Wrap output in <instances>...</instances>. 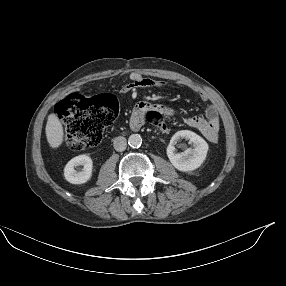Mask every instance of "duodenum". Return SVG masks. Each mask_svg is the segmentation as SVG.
I'll list each match as a JSON object with an SVG mask.
<instances>
[{
  "instance_id": "1",
  "label": "duodenum",
  "mask_w": 286,
  "mask_h": 286,
  "mask_svg": "<svg viewBox=\"0 0 286 286\" xmlns=\"http://www.w3.org/2000/svg\"><path fill=\"white\" fill-rule=\"evenodd\" d=\"M140 111L137 110V116L130 121V128L132 130H139L143 125V119L140 117Z\"/></svg>"
}]
</instances>
